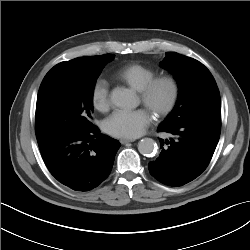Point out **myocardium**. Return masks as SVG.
Segmentation results:
<instances>
[{
	"mask_svg": "<svg viewBox=\"0 0 250 250\" xmlns=\"http://www.w3.org/2000/svg\"><path fill=\"white\" fill-rule=\"evenodd\" d=\"M163 85L169 88L170 94L167 102L154 112L158 118L169 115L175 109L181 94L179 81L170 75L155 76L138 90L141 102L148 105L156 89Z\"/></svg>",
	"mask_w": 250,
	"mask_h": 250,
	"instance_id": "1",
	"label": "myocardium"
}]
</instances>
